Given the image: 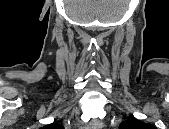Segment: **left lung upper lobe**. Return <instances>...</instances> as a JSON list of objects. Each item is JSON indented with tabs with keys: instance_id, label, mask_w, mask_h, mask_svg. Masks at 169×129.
Listing matches in <instances>:
<instances>
[{
	"instance_id": "obj_1",
	"label": "left lung upper lobe",
	"mask_w": 169,
	"mask_h": 129,
	"mask_svg": "<svg viewBox=\"0 0 169 129\" xmlns=\"http://www.w3.org/2000/svg\"><path fill=\"white\" fill-rule=\"evenodd\" d=\"M120 129H155V127L136 118H129L120 124Z\"/></svg>"
}]
</instances>
